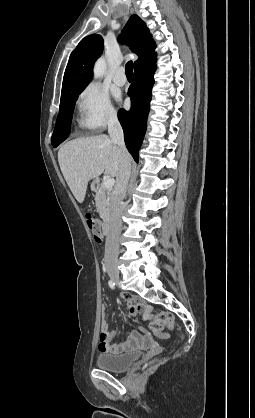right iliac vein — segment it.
<instances>
[{
	"instance_id": "obj_1",
	"label": "right iliac vein",
	"mask_w": 255,
	"mask_h": 418,
	"mask_svg": "<svg viewBox=\"0 0 255 418\" xmlns=\"http://www.w3.org/2000/svg\"><path fill=\"white\" fill-rule=\"evenodd\" d=\"M108 275L111 280L115 283L119 282V272L116 267H109L108 268Z\"/></svg>"
}]
</instances>
